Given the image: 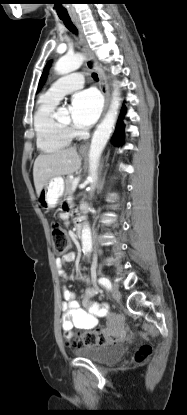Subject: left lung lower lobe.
<instances>
[{
  "label": "left lung lower lobe",
  "instance_id": "left-lung-lower-lobe-1",
  "mask_svg": "<svg viewBox=\"0 0 187 415\" xmlns=\"http://www.w3.org/2000/svg\"><path fill=\"white\" fill-rule=\"evenodd\" d=\"M126 113V108L125 106H123L121 113L119 115L118 121H117V125H116V129L115 132L113 134V137L111 139V142L120 147L123 144V132H124V125L122 124V118Z\"/></svg>",
  "mask_w": 187,
  "mask_h": 415
}]
</instances>
